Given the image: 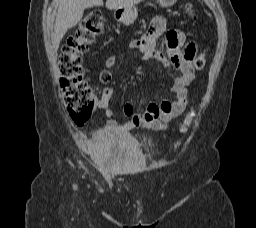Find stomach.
Returning <instances> with one entry per match:
<instances>
[{
  "label": "stomach",
  "mask_w": 256,
  "mask_h": 228,
  "mask_svg": "<svg viewBox=\"0 0 256 228\" xmlns=\"http://www.w3.org/2000/svg\"><path fill=\"white\" fill-rule=\"evenodd\" d=\"M162 7H171L177 0H157ZM138 16L137 8L132 5L130 7L116 9L114 12V17L117 21L123 23L124 25H131L134 23Z\"/></svg>",
  "instance_id": "obj_1"
}]
</instances>
